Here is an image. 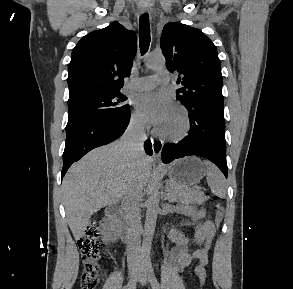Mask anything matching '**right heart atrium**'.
I'll return each instance as SVG.
<instances>
[{
    "instance_id": "1",
    "label": "right heart atrium",
    "mask_w": 293,
    "mask_h": 289,
    "mask_svg": "<svg viewBox=\"0 0 293 289\" xmlns=\"http://www.w3.org/2000/svg\"><path fill=\"white\" fill-rule=\"evenodd\" d=\"M130 127L136 132H143L146 129V121L138 112H132L130 116Z\"/></svg>"
}]
</instances>
